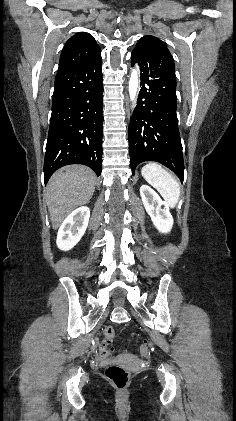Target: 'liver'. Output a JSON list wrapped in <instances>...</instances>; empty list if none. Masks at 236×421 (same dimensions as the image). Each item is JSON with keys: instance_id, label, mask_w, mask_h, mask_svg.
Here are the masks:
<instances>
[{"instance_id": "obj_1", "label": "liver", "mask_w": 236, "mask_h": 421, "mask_svg": "<svg viewBox=\"0 0 236 421\" xmlns=\"http://www.w3.org/2000/svg\"><path fill=\"white\" fill-rule=\"evenodd\" d=\"M95 172L83 164H69L48 180L45 198L53 229H58L77 206L86 204L94 192Z\"/></svg>"}]
</instances>
